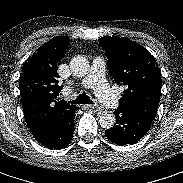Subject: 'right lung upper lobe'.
I'll return each mask as SVG.
<instances>
[{
    "label": "right lung upper lobe",
    "instance_id": "right-lung-upper-lobe-1",
    "mask_svg": "<svg viewBox=\"0 0 183 183\" xmlns=\"http://www.w3.org/2000/svg\"><path fill=\"white\" fill-rule=\"evenodd\" d=\"M69 44L66 36L55 37L38 48L24 63L19 79L24 117L30 129L40 121L69 123L78 109L59 99L57 64Z\"/></svg>",
    "mask_w": 183,
    "mask_h": 183
}]
</instances>
